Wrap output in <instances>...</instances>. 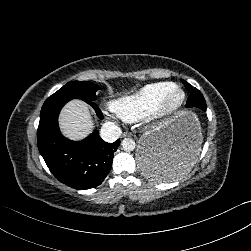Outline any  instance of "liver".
<instances>
[{"label": "liver", "mask_w": 251, "mask_h": 251, "mask_svg": "<svg viewBox=\"0 0 251 251\" xmlns=\"http://www.w3.org/2000/svg\"><path fill=\"white\" fill-rule=\"evenodd\" d=\"M60 133L75 143L86 140L94 130L95 121L87 102L80 98L67 101L58 113Z\"/></svg>", "instance_id": "obj_1"}]
</instances>
